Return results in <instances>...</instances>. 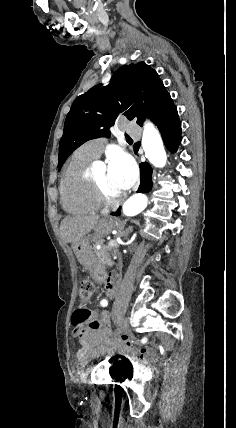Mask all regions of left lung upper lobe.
<instances>
[{"label":"left lung upper lobe","mask_w":236,"mask_h":428,"mask_svg":"<svg viewBox=\"0 0 236 428\" xmlns=\"http://www.w3.org/2000/svg\"><path fill=\"white\" fill-rule=\"evenodd\" d=\"M171 102L158 74L145 62L120 67L109 85H96L73 102L59 142L58 169L86 141L110 137L109 128L118 116L142 126L145 116L153 119Z\"/></svg>","instance_id":"5c2ea615"}]
</instances>
